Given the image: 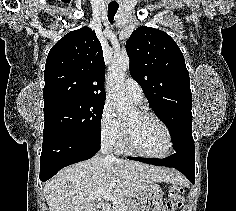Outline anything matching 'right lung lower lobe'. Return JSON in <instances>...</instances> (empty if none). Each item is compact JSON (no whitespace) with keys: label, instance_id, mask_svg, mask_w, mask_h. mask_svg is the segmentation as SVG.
<instances>
[{"label":"right lung lower lobe","instance_id":"obj_1","mask_svg":"<svg viewBox=\"0 0 236 211\" xmlns=\"http://www.w3.org/2000/svg\"><path fill=\"white\" fill-rule=\"evenodd\" d=\"M100 149V140L72 132L43 134L40 158V180L46 181L65 166L93 157Z\"/></svg>","mask_w":236,"mask_h":211}]
</instances>
